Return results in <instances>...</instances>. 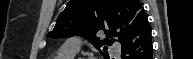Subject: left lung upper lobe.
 Listing matches in <instances>:
<instances>
[{
    "label": "left lung upper lobe",
    "mask_w": 193,
    "mask_h": 59,
    "mask_svg": "<svg viewBox=\"0 0 193 59\" xmlns=\"http://www.w3.org/2000/svg\"><path fill=\"white\" fill-rule=\"evenodd\" d=\"M142 12L144 9L139 0H70L47 37H85L106 57V52L101 51V48L111 45L113 37H118L119 41ZM102 30L107 34L104 40L96 36ZM106 49L104 46L103 50Z\"/></svg>",
    "instance_id": "left-lung-upper-lobe-1"
}]
</instances>
